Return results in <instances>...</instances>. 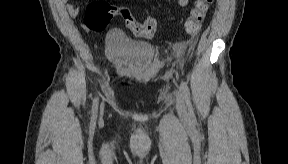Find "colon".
<instances>
[{
	"mask_svg": "<svg viewBox=\"0 0 288 164\" xmlns=\"http://www.w3.org/2000/svg\"><path fill=\"white\" fill-rule=\"evenodd\" d=\"M210 2V0L196 1L185 21V30L188 35L192 37L197 35ZM118 14L124 17L127 28L143 39L151 38L158 27V21L155 18L150 17L141 23L128 11L106 0H93L89 3L85 15V26L93 31H103Z\"/></svg>",
	"mask_w": 288,
	"mask_h": 164,
	"instance_id": "5ec220e1",
	"label": "colon"
}]
</instances>
